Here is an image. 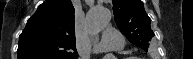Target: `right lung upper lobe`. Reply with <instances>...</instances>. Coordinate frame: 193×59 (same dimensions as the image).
<instances>
[{"instance_id":"1","label":"right lung upper lobe","mask_w":193,"mask_h":59,"mask_svg":"<svg viewBox=\"0 0 193 59\" xmlns=\"http://www.w3.org/2000/svg\"><path fill=\"white\" fill-rule=\"evenodd\" d=\"M74 7L70 0H46L19 37L17 59H75Z\"/></svg>"}]
</instances>
